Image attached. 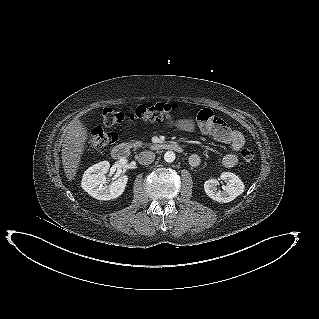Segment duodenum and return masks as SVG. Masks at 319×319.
<instances>
[{"label": "duodenum", "instance_id": "1", "mask_svg": "<svg viewBox=\"0 0 319 319\" xmlns=\"http://www.w3.org/2000/svg\"><path fill=\"white\" fill-rule=\"evenodd\" d=\"M153 150H170V151H175V152H182L183 149L182 147L171 141H165L157 144H153L151 146ZM129 153V145L126 143H120L113 147L111 151V155L115 160H120L123 158H126Z\"/></svg>", "mask_w": 319, "mask_h": 319}]
</instances>
